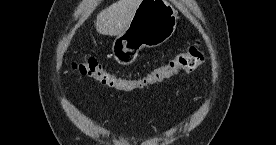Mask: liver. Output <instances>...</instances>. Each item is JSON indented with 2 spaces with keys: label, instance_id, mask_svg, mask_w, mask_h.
Here are the masks:
<instances>
[{
  "label": "liver",
  "instance_id": "6515ba94",
  "mask_svg": "<svg viewBox=\"0 0 276 145\" xmlns=\"http://www.w3.org/2000/svg\"><path fill=\"white\" fill-rule=\"evenodd\" d=\"M141 0H118L102 10L95 22L99 34L117 36L123 33Z\"/></svg>",
  "mask_w": 276,
  "mask_h": 145
}]
</instances>
